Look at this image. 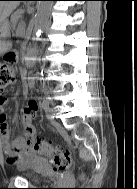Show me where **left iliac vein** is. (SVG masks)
I'll return each mask as SVG.
<instances>
[{
	"label": "left iliac vein",
	"mask_w": 137,
	"mask_h": 189,
	"mask_svg": "<svg viewBox=\"0 0 137 189\" xmlns=\"http://www.w3.org/2000/svg\"><path fill=\"white\" fill-rule=\"evenodd\" d=\"M45 114H46V117L49 120H52L53 119L54 110L52 108H50L49 106H47V107H45Z\"/></svg>",
	"instance_id": "obj_1"
}]
</instances>
